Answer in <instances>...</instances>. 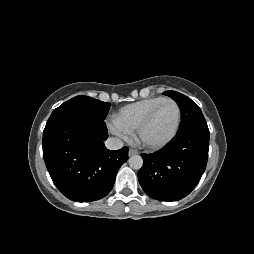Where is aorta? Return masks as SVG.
<instances>
[{"label":"aorta","mask_w":254,"mask_h":254,"mask_svg":"<svg viewBox=\"0 0 254 254\" xmlns=\"http://www.w3.org/2000/svg\"><path fill=\"white\" fill-rule=\"evenodd\" d=\"M128 163L132 169L139 170L143 166V159L139 155H133L129 158Z\"/></svg>","instance_id":"1"}]
</instances>
